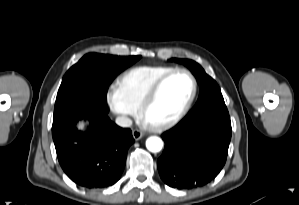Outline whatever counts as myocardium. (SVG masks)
Listing matches in <instances>:
<instances>
[{"label": "myocardium", "mask_w": 299, "mask_h": 205, "mask_svg": "<svg viewBox=\"0 0 299 205\" xmlns=\"http://www.w3.org/2000/svg\"><path fill=\"white\" fill-rule=\"evenodd\" d=\"M179 73H184V74L188 75L192 81V91H191V94H190L188 100L186 101L184 106L171 118H168L166 120H163V121H160L157 123L147 122L146 114H147L149 108L151 107V105L153 104V102L155 101L161 88L167 82V80H169L172 76L179 74ZM197 87H198V84H197L196 77L190 70L185 69V68H175V69L171 70L170 72L166 73L161 78H159L155 82V84L151 87V89L148 91L146 96L144 97V99L141 102L140 107H139L140 117L144 121H146L148 123V125L150 126V128H152L153 130H163V129H166V128H169V127L175 125L190 110V108L195 100L196 94H197Z\"/></svg>", "instance_id": "myocardium-1"}]
</instances>
